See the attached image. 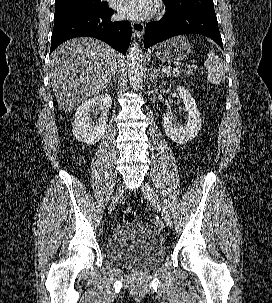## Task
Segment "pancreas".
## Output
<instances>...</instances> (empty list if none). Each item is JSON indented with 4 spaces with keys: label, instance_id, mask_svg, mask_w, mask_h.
Instances as JSON below:
<instances>
[{
    "label": "pancreas",
    "instance_id": "cf45deb5",
    "mask_svg": "<svg viewBox=\"0 0 272 303\" xmlns=\"http://www.w3.org/2000/svg\"><path fill=\"white\" fill-rule=\"evenodd\" d=\"M168 68V71L165 72V75L167 77H178L181 72L178 70V68H175V67H171V66H167ZM190 73L189 72H185V75H189Z\"/></svg>",
    "mask_w": 272,
    "mask_h": 303
}]
</instances>
